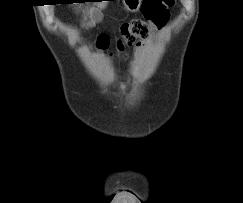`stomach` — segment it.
Wrapping results in <instances>:
<instances>
[{
  "label": "stomach",
  "mask_w": 243,
  "mask_h": 203,
  "mask_svg": "<svg viewBox=\"0 0 243 203\" xmlns=\"http://www.w3.org/2000/svg\"><path fill=\"white\" fill-rule=\"evenodd\" d=\"M143 0H123L124 8L129 12H136L139 10Z\"/></svg>",
  "instance_id": "obj_1"
}]
</instances>
